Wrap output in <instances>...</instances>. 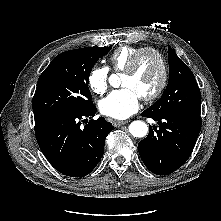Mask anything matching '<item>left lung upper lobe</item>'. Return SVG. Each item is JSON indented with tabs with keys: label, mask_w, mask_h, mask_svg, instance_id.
<instances>
[{
	"label": "left lung upper lobe",
	"mask_w": 221,
	"mask_h": 221,
	"mask_svg": "<svg viewBox=\"0 0 221 221\" xmlns=\"http://www.w3.org/2000/svg\"><path fill=\"white\" fill-rule=\"evenodd\" d=\"M169 81L162 97L145 111L154 116L200 115L201 93L192 71L168 47Z\"/></svg>",
	"instance_id": "5c2ea615"
}]
</instances>
